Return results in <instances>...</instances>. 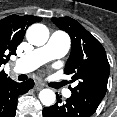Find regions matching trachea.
Listing matches in <instances>:
<instances>
[{
	"instance_id": "trachea-1",
	"label": "trachea",
	"mask_w": 117,
	"mask_h": 117,
	"mask_svg": "<svg viewBox=\"0 0 117 117\" xmlns=\"http://www.w3.org/2000/svg\"><path fill=\"white\" fill-rule=\"evenodd\" d=\"M18 79L19 80H26L27 79V76L22 74V75H19L18 76Z\"/></svg>"
}]
</instances>
